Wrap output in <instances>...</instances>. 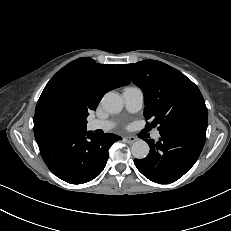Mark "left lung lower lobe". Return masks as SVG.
Here are the masks:
<instances>
[{"instance_id":"obj_1","label":"left lung lower lobe","mask_w":231,"mask_h":231,"mask_svg":"<svg viewBox=\"0 0 231 231\" xmlns=\"http://www.w3.org/2000/svg\"><path fill=\"white\" fill-rule=\"evenodd\" d=\"M157 142L145 141L150 146L149 155L135 159L137 169L149 180L169 184L180 177L197 161L206 139V130L181 127L160 132Z\"/></svg>"}]
</instances>
